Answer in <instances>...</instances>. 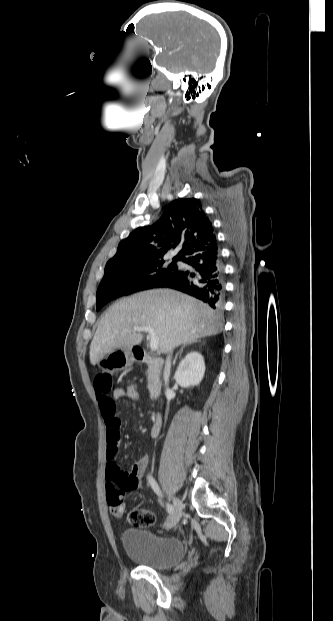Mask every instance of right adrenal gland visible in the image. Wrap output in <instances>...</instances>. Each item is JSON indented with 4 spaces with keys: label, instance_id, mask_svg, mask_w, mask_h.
Returning a JSON list of instances; mask_svg holds the SVG:
<instances>
[{
    "label": "right adrenal gland",
    "instance_id": "right-adrenal-gland-1",
    "mask_svg": "<svg viewBox=\"0 0 333 621\" xmlns=\"http://www.w3.org/2000/svg\"><path fill=\"white\" fill-rule=\"evenodd\" d=\"M196 342H200V340H192V341H189V342L185 343V344H184V345L180 348L179 352H177V354L175 355V358H174V360H173V365H175L176 360H177V358H178V355H179V354L183 351V349H184L186 346L191 345V344L196 343Z\"/></svg>",
    "mask_w": 333,
    "mask_h": 621
}]
</instances>
